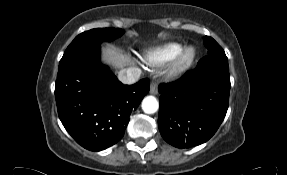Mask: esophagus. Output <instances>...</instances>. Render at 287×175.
Here are the masks:
<instances>
[{
	"mask_svg": "<svg viewBox=\"0 0 287 175\" xmlns=\"http://www.w3.org/2000/svg\"><path fill=\"white\" fill-rule=\"evenodd\" d=\"M149 92H150V94H154V95L158 93V83L156 81H154L150 84Z\"/></svg>",
	"mask_w": 287,
	"mask_h": 175,
	"instance_id": "34e87169",
	"label": "esophagus"
}]
</instances>
